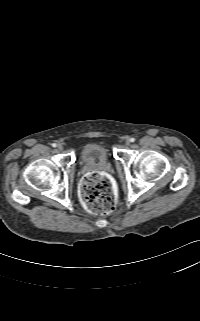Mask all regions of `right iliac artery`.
<instances>
[{"mask_svg":"<svg viewBox=\"0 0 200 321\" xmlns=\"http://www.w3.org/2000/svg\"><path fill=\"white\" fill-rule=\"evenodd\" d=\"M56 146H57V144H56V143H53V144H52V147H56Z\"/></svg>","mask_w":200,"mask_h":321,"instance_id":"right-iliac-artery-1","label":"right iliac artery"}]
</instances>
